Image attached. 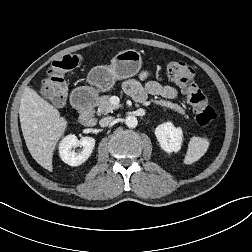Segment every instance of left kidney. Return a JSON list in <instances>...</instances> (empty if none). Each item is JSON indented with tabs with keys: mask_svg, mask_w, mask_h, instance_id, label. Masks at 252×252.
<instances>
[{
	"mask_svg": "<svg viewBox=\"0 0 252 252\" xmlns=\"http://www.w3.org/2000/svg\"><path fill=\"white\" fill-rule=\"evenodd\" d=\"M156 138L160 147L167 153L178 152L182 144V130L171 122L163 123L155 129Z\"/></svg>",
	"mask_w": 252,
	"mask_h": 252,
	"instance_id": "obj_1",
	"label": "left kidney"
}]
</instances>
